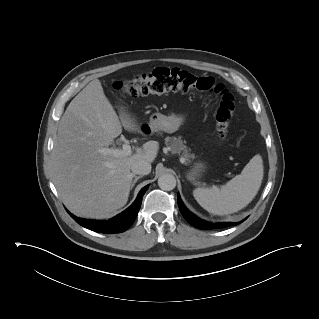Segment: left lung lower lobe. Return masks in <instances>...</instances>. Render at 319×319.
Segmentation results:
<instances>
[{"mask_svg": "<svg viewBox=\"0 0 319 319\" xmlns=\"http://www.w3.org/2000/svg\"><path fill=\"white\" fill-rule=\"evenodd\" d=\"M178 205H179V209L183 215V217L194 227L198 228V229H204V230H212V229H219V228H225V227H229V226H234L239 224L235 223V222H225V223H210V222H206L205 220H202L200 218H198L197 216H195L194 214H192L190 211H188L186 209V207L184 206V204L181 201V198L178 194Z\"/></svg>", "mask_w": 319, "mask_h": 319, "instance_id": "0a47b994", "label": "left lung lower lobe"}]
</instances>
